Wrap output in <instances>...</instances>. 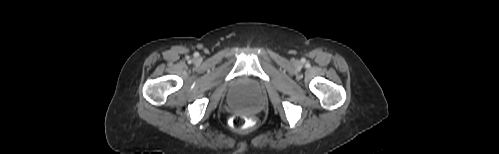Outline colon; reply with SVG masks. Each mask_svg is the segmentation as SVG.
Listing matches in <instances>:
<instances>
[{"instance_id": "1", "label": "colon", "mask_w": 499, "mask_h": 154, "mask_svg": "<svg viewBox=\"0 0 499 154\" xmlns=\"http://www.w3.org/2000/svg\"><path fill=\"white\" fill-rule=\"evenodd\" d=\"M252 124V119L242 115H235L231 119V126L236 130H243Z\"/></svg>"}]
</instances>
